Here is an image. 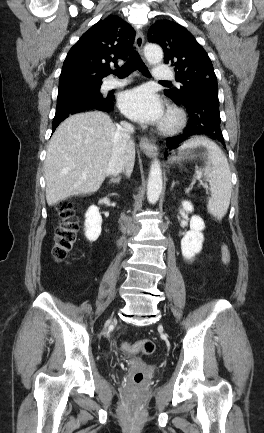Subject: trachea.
Listing matches in <instances>:
<instances>
[{
    "mask_svg": "<svg viewBox=\"0 0 264 433\" xmlns=\"http://www.w3.org/2000/svg\"><path fill=\"white\" fill-rule=\"evenodd\" d=\"M138 69L143 75L151 77L148 68L142 62L139 53L132 50L128 61L119 69L112 71V73L120 78L128 76L133 70ZM170 83L169 81H161Z\"/></svg>",
    "mask_w": 264,
    "mask_h": 433,
    "instance_id": "obj_1",
    "label": "trachea"
}]
</instances>
